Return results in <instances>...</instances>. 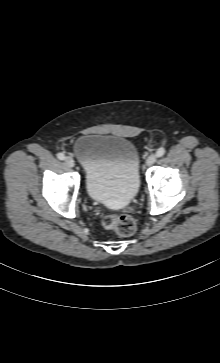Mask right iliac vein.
I'll return each mask as SVG.
<instances>
[{
  "label": "right iliac vein",
  "instance_id": "1",
  "mask_svg": "<svg viewBox=\"0 0 220 363\" xmlns=\"http://www.w3.org/2000/svg\"><path fill=\"white\" fill-rule=\"evenodd\" d=\"M65 164L70 168H73L75 166V162L71 157L65 158Z\"/></svg>",
  "mask_w": 220,
  "mask_h": 363
}]
</instances>
